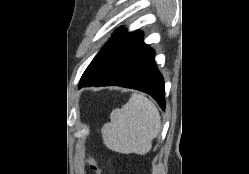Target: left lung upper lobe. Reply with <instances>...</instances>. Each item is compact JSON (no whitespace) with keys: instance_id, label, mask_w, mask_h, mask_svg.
<instances>
[{"instance_id":"1","label":"left lung upper lobe","mask_w":249,"mask_h":174,"mask_svg":"<svg viewBox=\"0 0 249 174\" xmlns=\"http://www.w3.org/2000/svg\"><path fill=\"white\" fill-rule=\"evenodd\" d=\"M139 31L133 33H127L122 29H118L113 33V38L101 49V51L95 56L92 62L89 64L81 79L90 78L100 69H102L109 60L113 57L116 51L130 38L136 35Z\"/></svg>"}]
</instances>
